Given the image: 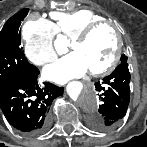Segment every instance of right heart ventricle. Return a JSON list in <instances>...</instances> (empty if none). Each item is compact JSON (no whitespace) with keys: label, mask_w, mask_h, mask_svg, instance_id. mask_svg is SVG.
<instances>
[{"label":"right heart ventricle","mask_w":147,"mask_h":147,"mask_svg":"<svg viewBox=\"0 0 147 147\" xmlns=\"http://www.w3.org/2000/svg\"><path fill=\"white\" fill-rule=\"evenodd\" d=\"M55 32L72 39L87 26L104 18L90 9H78L71 12H53Z\"/></svg>","instance_id":"right-heart-ventricle-1"}]
</instances>
